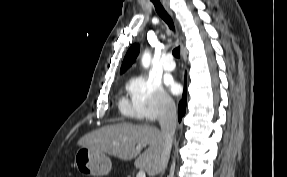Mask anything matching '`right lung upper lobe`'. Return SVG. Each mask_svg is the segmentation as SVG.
<instances>
[{"instance_id":"cb5924a9","label":"right lung upper lobe","mask_w":287,"mask_h":177,"mask_svg":"<svg viewBox=\"0 0 287 177\" xmlns=\"http://www.w3.org/2000/svg\"><path fill=\"white\" fill-rule=\"evenodd\" d=\"M139 53V44H134L131 46V48L128 50L122 66H121V73L125 72L135 61L136 57L138 56Z\"/></svg>"}]
</instances>
